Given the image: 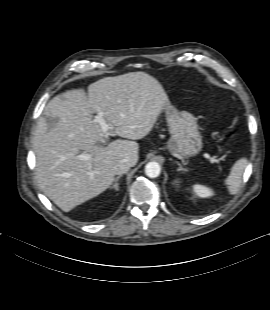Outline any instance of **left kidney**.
<instances>
[{
    "instance_id": "1",
    "label": "left kidney",
    "mask_w": 270,
    "mask_h": 310,
    "mask_svg": "<svg viewBox=\"0 0 270 310\" xmlns=\"http://www.w3.org/2000/svg\"><path fill=\"white\" fill-rule=\"evenodd\" d=\"M193 190L199 197L206 198L213 195V191L211 189L199 184L194 185Z\"/></svg>"
}]
</instances>
